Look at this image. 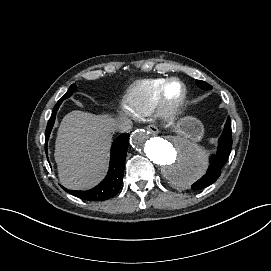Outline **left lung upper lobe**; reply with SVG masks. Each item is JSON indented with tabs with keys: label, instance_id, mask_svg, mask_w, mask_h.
<instances>
[{
	"label": "left lung upper lobe",
	"instance_id": "left-lung-upper-lobe-1",
	"mask_svg": "<svg viewBox=\"0 0 271 271\" xmlns=\"http://www.w3.org/2000/svg\"><path fill=\"white\" fill-rule=\"evenodd\" d=\"M196 84L199 88L203 89V90H209L212 88L211 85H209L208 83L201 81V80H197Z\"/></svg>",
	"mask_w": 271,
	"mask_h": 271
}]
</instances>
